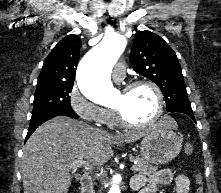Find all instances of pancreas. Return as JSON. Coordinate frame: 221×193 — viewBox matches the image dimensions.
<instances>
[{
	"label": "pancreas",
	"mask_w": 221,
	"mask_h": 193,
	"mask_svg": "<svg viewBox=\"0 0 221 193\" xmlns=\"http://www.w3.org/2000/svg\"><path fill=\"white\" fill-rule=\"evenodd\" d=\"M133 160L137 161L135 171L141 175L150 176L151 174H153L154 172H156L158 170L157 166H152L147 161H145L143 158L137 157V158H134ZM90 193H94L93 187H91Z\"/></svg>",
	"instance_id": "1"
}]
</instances>
